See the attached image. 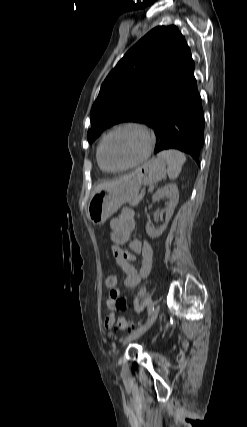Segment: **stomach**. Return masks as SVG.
Returning a JSON list of instances; mask_svg holds the SVG:
<instances>
[{
  "label": "stomach",
  "instance_id": "1",
  "mask_svg": "<svg viewBox=\"0 0 247 427\" xmlns=\"http://www.w3.org/2000/svg\"><path fill=\"white\" fill-rule=\"evenodd\" d=\"M166 175V163L152 158L138 168L132 177L115 187L95 192L87 208V216L94 225L103 224L124 203L130 202L138 195L142 185H151L162 180Z\"/></svg>",
  "mask_w": 247,
  "mask_h": 427
}]
</instances>
